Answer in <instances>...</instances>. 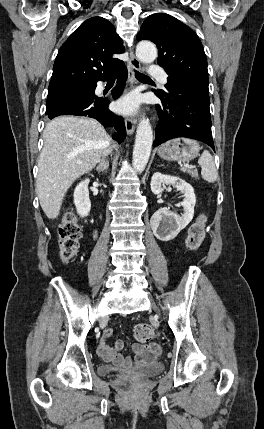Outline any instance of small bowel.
Returning <instances> with one entry per match:
<instances>
[{
    "instance_id": "small-bowel-1",
    "label": "small bowel",
    "mask_w": 264,
    "mask_h": 429,
    "mask_svg": "<svg viewBox=\"0 0 264 429\" xmlns=\"http://www.w3.org/2000/svg\"><path fill=\"white\" fill-rule=\"evenodd\" d=\"M111 335V329H107L104 332L98 346L99 355L104 360L113 362L118 367L129 368L132 364L131 359L125 358L120 354V351L124 348V342L122 340H118L114 346H109L107 344V340ZM132 351L135 355L134 360L136 364H146L155 360L161 352V347L157 343H150L147 345L136 343L132 345Z\"/></svg>"
}]
</instances>
